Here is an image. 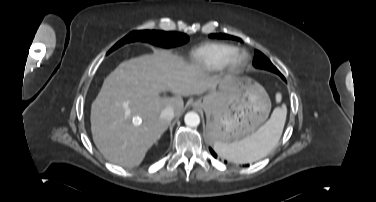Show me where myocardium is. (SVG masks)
<instances>
[{"label":"myocardium","mask_w":376,"mask_h":202,"mask_svg":"<svg viewBox=\"0 0 376 202\" xmlns=\"http://www.w3.org/2000/svg\"><path fill=\"white\" fill-rule=\"evenodd\" d=\"M247 62V52L237 49L229 56L224 66L228 72L238 73L246 66Z\"/></svg>","instance_id":"f54148a6"}]
</instances>
